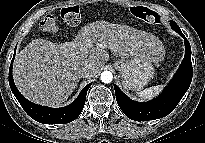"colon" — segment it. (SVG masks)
<instances>
[{
    "label": "colon",
    "mask_w": 205,
    "mask_h": 143,
    "mask_svg": "<svg viewBox=\"0 0 205 143\" xmlns=\"http://www.w3.org/2000/svg\"><path fill=\"white\" fill-rule=\"evenodd\" d=\"M130 10L132 15L148 23L151 24L161 23V16L150 8L143 7V6H134ZM60 16L65 23L71 26H76L81 21V11L80 8L76 5L62 8L60 11ZM40 28L43 32L48 34L57 33L58 24L55 16L53 15L45 16L40 23Z\"/></svg>",
    "instance_id": "1"
}]
</instances>
